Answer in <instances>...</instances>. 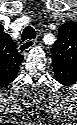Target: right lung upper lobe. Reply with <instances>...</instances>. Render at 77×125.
<instances>
[{
    "mask_svg": "<svg viewBox=\"0 0 77 125\" xmlns=\"http://www.w3.org/2000/svg\"><path fill=\"white\" fill-rule=\"evenodd\" d=\"M23 55L18 53L10 36L0 30V84H8L17 77Z\"/></svg>",
    "mask_w": 77,
    "mask_h": 125,
    "instance_id": "right-lung-upper-lobe-1",
    "label": "right lung upper lobe"
}]
</instances>
